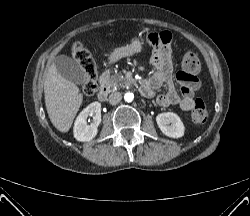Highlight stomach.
Instances as JSON below:
<instances>
[{"label":"stomach","mask_w":250,"mask_h":216,"mask_svg":"<svg viewBox=\"0 0 250 216\" xmlns=\"http://www.w3.org/2000/svg\"><path fill=\"white\" fill-rule=\"evenodd\" d=\"M143 44H144V39L137 38L133 40L130 44H127L126 46H122V47H118L114 49L109 54V57H108L109 62L115 63L124 57L132 56L136 53L141 52L143 48Z\"/></svg>","instance_id":"1"}]
</instances>
